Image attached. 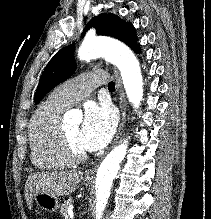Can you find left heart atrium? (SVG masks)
Wrapping results in <instances>:
<instances>
[{"label": "left heart atrium", "instance_id": "left-heart-atrium-1", "mask_svg": "<svg viewBox=\"0 0 211 219\" xmlns=\"http://www.w3.org/2000/svg\"><path fill=\"white\" fill-rule=\"evenodd\" d=\"M116 127V118L108 105L92 104L86 108L79 141L86 151H96L108 144Z\"/></svg>", "mask_w": 211, "mask_h": 219}]
</instances>
